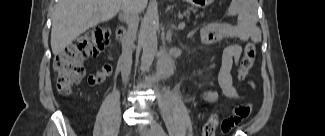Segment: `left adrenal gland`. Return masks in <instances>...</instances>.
Returning <instances> with one entry per match:
<instances>
[{
    "instance_id": "left-adrenal-gland-1",
    "label": "left adrenal gland",
    "mask_w": 325,
    "mask_h": 136,
    "mask_svg": "<svg viewBox=\"0 0 325 136\" xmlns=\"http://www.w3.org/2000/svg\"><path fill=\"white\" fill-rule=\"evenodd\" d=\"M172 27H174V26H172ZM166 38H167V40H168L169 42L172 41V31H171V29H169Z\"/></svg>"
}]
</instances>
